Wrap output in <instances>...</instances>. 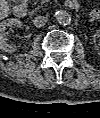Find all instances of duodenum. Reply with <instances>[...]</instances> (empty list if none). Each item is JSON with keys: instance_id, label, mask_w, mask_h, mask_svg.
I'll return each mask as SVG.
<instances>
[{"instance_id": "obj_1", "label": "duodenum", "mask_w": 100, "mask_h": 118, "mask_svg": "<svg viewBox=\"0 0 100 118\" xmlns=\"http://www.w3.org/2000/svg\"><path fill=\"white\" fill-rule=\"evenodd\" d=\"M67 4L71 9H77L79 4L77 0H67ZM28 11V5L24 0H20L16 7H15V13L18 17H23L26 15Z\"/></svg>"}]
</instances>
